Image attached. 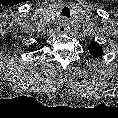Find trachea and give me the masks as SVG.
<instances>
[{"label": "trachea", "instance_id": "3493384b", "mask_svg": "<svg viewBox=\"0 0 118 118\" xmlns=\"http://www.w3.org/2000/svg\"><path fill=\"white\" fill-rule=\"evenodd\" d=\"M61 16L69 18L70 17V9L68 7H64L62 9Z\"/></svg>", "mask_w": 118, "mask_h": 118}]
</instances>
